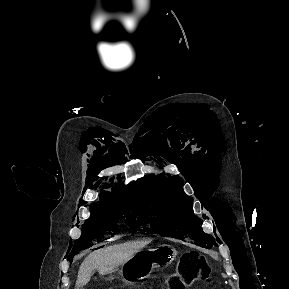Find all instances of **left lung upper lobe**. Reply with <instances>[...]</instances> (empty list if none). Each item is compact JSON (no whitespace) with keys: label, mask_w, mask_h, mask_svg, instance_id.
<instances>
[{"label":"left lung upper lobe","mask_w":289,"mask_h":289,"mask_svg":"<svg viewBox=\"0 0 289 289\" xmlns=\"http://www.w3.org/2000/svg\"><path fill=\"white\" fill-rule=\"evenodd\" d=\"M137 188V201L143 231L181 240H191L194 244L211 248L215 244L213 236L203 232L202 221L192 210L193 199L183 192V181L177 176L149 175Z\"/></svg>","instance_id":"left-lung-upper-lobe-1"}]
</instances>
